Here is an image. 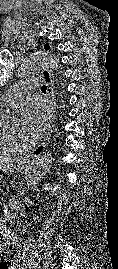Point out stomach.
<instances>
[{"label": "stomach", "instance_id": "0dacf381", "mask_svg": "<svg viewBox=\"0 0 118 269\" xmlns=\"http://www.w3.org/2000/svg\"><path fill=\"white\" fill-rule=\"evenodd\" d=\"M26 165H23V164H18L17 167H15V169L17 171H22L24 168H25Z\"/></svg>", "mask_w": 118, "mask_h": 269}]
</instances>
